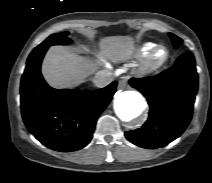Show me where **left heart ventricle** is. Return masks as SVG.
I'll list each match as a JSON object with an SVG mask.
<instances>
[{"mask_svg": "<svg viewBox=\"0 0 212 183\" xmlns=\"http://www.w3.org/2000/svg\"><path fill=\"white\" fill-rule=\"evenodd\" d=\"M164 57H165V51H164L163 49H160V50H158V51L155 53V60H156V61H160V60H162Z\"/></svg>", "mask_w": 212, "mask_h": 183, "instance_id": "obj_1", "label": "left heart ventricle"}]
</instances>
